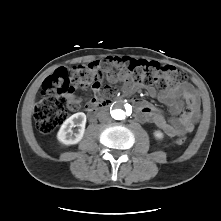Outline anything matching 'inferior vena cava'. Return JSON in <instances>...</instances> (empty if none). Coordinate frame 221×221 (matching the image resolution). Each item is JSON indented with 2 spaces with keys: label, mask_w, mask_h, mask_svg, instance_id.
I'll list each match as a JSON object with an SVG mask.
<instances>
[{
  "label": "inferior vena cava",
  "mask_w": 221,
  "mask_h": 221,
  "mask_svg": "<svg viewBox=\"0 0 221 221\" xmlns=\"http://www.w3.org/2000/svg\"><path fill=\"white\" fill-rule=\"evenodd\" d=\"M99 120H100L101 122L110 121L109 113H108V112H105V111H102V112L99 114Z\"/></svg>",
  "instance_id": "1"
}]
</instances>
